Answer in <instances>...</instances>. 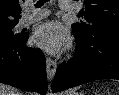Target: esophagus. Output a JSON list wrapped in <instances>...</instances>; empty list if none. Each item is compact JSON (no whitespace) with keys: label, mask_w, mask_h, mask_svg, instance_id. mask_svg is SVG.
Here are the masks:
<instances>
[{"label":"esophagus","mask_w":119,"mask_h":95,"mask_svg":"<svg viewBox=\"0 0 119 95\" xmlns=\"http://www.w3.org/2000/svg\"><path fill=\"white\" fill-rule=\"evenodd\" d=\"M57 69V64L56 62L51 59L50 57L46 58V71H47V78L49 82H51L55 76Z\"/></svg>","instance_id":"esophagus-1"}]
</instances>
